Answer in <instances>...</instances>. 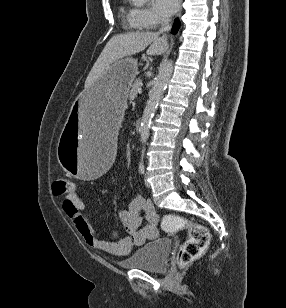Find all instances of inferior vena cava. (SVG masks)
<instances>
[{"mask_svg": "<svg viewBox=\"0 0 286 308\" xmlns=\"http://www.w3.org/2000/svg\"><path fill=\"white\" fill-rule=\"evenodd\" d=\"M171 29V24L169 23V20L168 19H164L162 24H161V28L159 30L160 33H163V32H167Z\"/></svg>", "mask_w": 286, "mask_h": 308, "instance_id": "602c4592", "label": "inferior vena cava"}]
</instances>
